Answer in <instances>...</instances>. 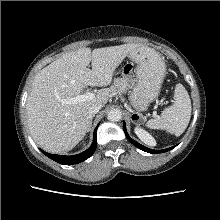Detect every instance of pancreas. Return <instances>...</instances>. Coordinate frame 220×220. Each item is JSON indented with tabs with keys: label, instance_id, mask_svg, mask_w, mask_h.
<instances>
[{
	"label": "pancreas",
	"instance_id": "1",
	"mask_svg": "<svg viewBox=\"0 0 220 220\" xmlns=\"http://www.w3.org/2000/svg\"><path fill=\"white\" fill-rule=\"evenodd\" d=\"M129 87L130 86L126 80L116 79L114 85L111 86V91L121 95L122 93H126Z\"/></svg>",
	"mask_w": 220,
	"mask_h": 220
}]
</instances>
